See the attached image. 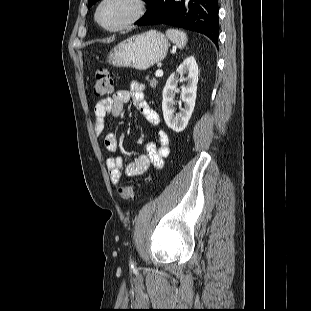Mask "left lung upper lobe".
I'll return each mask as SVG.
<instances>
[{
  "label": "left lung upper lobe",
  "mask_w": 311,
  "mask_h": 311,
  "mask_svg": "<svg viewBox=\"0 0 311 311\" xmlns=\"http://www.w3.org/2000/svg\"><path fill=\"white\" fill-rule=\"evenodd\" d=\"M98 0H88V8H90L94 3H96ZM144 1H148V0H144Z\"/></svg>",
  "instance_id": "1"
}]
</instances>
